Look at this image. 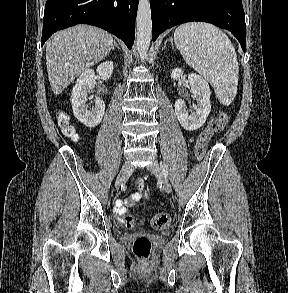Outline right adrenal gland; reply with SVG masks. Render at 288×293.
<instances>
[{"label": "right adrenal gland", "instance_id": "obj_1", "mask_svg": "<svg viewBox=\"0 0 288 293\" xmlns=\"http://www.w3.org/2000/svg\"><path fill=\"white\" fill-rule=\"evenodd\" d=\"M114 47H116L118 50H120V47L117 45L116 42H114ZM114 47H113V49H114Z\"/></svg>", "mask_w": 288, "mask_h": 293}]
</instances>
